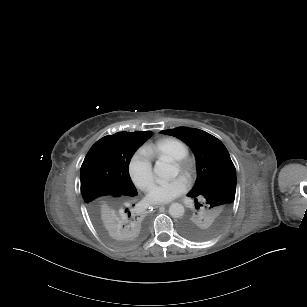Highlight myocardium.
I'll return each instance as SVG.
<instances>
[{
	"mask_svg": "<svg viewBox=\"0 0 307 307\" xmlns=\"http://www.w3.org/2000/svg\"><path fill=\"white\" fill-rule=\"evenodd\" d=\"M174 160L178 166L179 172L184 176L193 177L197 173L199 160L195 155L189 153Z\"/></svg>",
	"mask_w": 307,
	"mask_h": 307,
	"instance_id": "f54148a6",
	"label": "myocardium"
}]
</instances>
